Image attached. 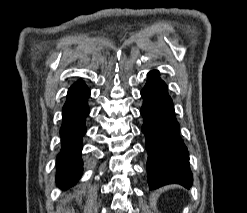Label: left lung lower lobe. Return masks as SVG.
<instances>
[{
    "label": "left lung lower lobe",
    "instance_id": "left-lung-lower-lobe-1",
    "mask_svg": "<svg viewBox=\"0 0 247 213\" xmlns=\"http://www.w3.org/2000/svg\"><path fill=\"white\" fill-rule=\"evenodd\" d=\"M148 76L141 91L143 105L140 112L144 118L142 132L146 137L150 189L171 183L189 188L193 177L187 147L179 135L173 102L158 71H151Z\"/></svg>",
    "mask_w": 247,
    "mask_h": 213
}]
</instances>
